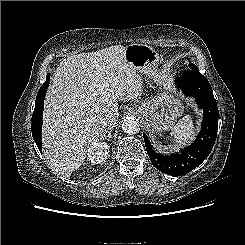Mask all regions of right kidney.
<instances>
[{
    "instance_id": "1",
    "label": "right kidney",
    "mask_w": 245,
    "mask_h": 245,
    "mask_svg": "<svg viewBox=\"0 0 245 245\" xmlns=\"http://www.w3.org/2000/svg\"><path fill=\"white\" fill-rule=\"evenodd\" d=\"M109 145L105 142H97L93 144L87 152V159L93 164H99L108 157Z\"/></svg>"
}]
</instances>
